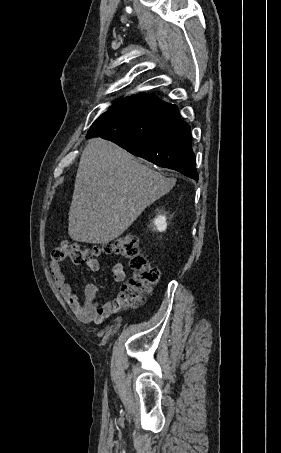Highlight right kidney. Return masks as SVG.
Here are the masks:
<instances>
[{"instance_id": "ca27d5eb", "label": "right kidney", "mask_w": 281, "mask_h": 453, "mask_svg": "<svg viewBox=\"0 0 281 453\" xmlns=\"http://www.w3.org/2000/svg\"><path fill=\"white\" fill-rule=\"evenodd\" d=\"M166 218L167 216H165V214H157L156 218L153 220L155 229L160 231V233H162V231H166L167 229Z\"/></svg>"}]
</instances>
